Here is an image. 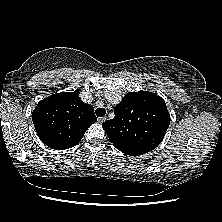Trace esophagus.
<instances>
[{
  "label": "esophagus",
  "mask_w": 222,
  "mask_h": 222,
  "mask_svg": "<svg viewBox=\"0 0 222 222\" xmlns=\"http://www.w3.org/2000/svg\"><path fill=\"white\" fill-rule=\"evenodd\" d=\"M106 120V117H99L98 122L103 123Z\"/></svg>",
  "instance_id": "esophagus-1"
}]
</instances>
